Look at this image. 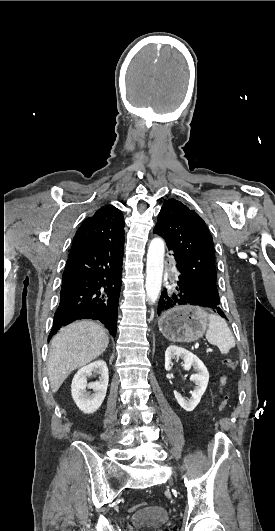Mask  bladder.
<instances>
[{"mask_svg":"<svg viewBox=\"0 0 275 531\" xmlns=\"http://www.w3.org/2000/svg\"><path fill=\"white\" fill-rule=\"evenodd\" d=\"M170 513L161 504H150L133 513L132 522L135 531H158L159 525L167 524Z\"/></svg>","mask_w":275,"mask_h":531,"instance_id":"31cf9c89","label":"bladder"}]
</instances>
